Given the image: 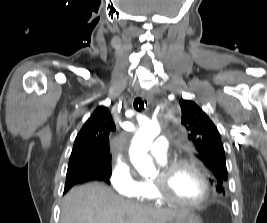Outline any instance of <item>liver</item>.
Wrapping results in <instances>:
<instances>
[{
    "label": "liver",
    "instance_id": "liver-1",
    "mask_svg": "<svg viewBox=\"0 0 267 223\" xmlns=\"http://www.w3.org/2000/svg\"><path fill=\"white\" fill-rule=\"evenodd\" d=\"M185 211L125 200L105 184L92 182L66 194L60 223H167Z\"/></svg>",
    "mask_w": 267,
    "mask_h": 223
}]
</instances>
